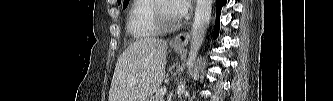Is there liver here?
Wrapping results in <instances>:
<instances>
[{
	"instance_id": "obj_1",
	"label": "liver",
	"mask_w": 333,
	"mask_h": 101,
	"mask_svg": "<svg viewBox=\"0 0 333 101\" xmlns=\"http://www.w3.org/2000/svg\"><path fill=\"white\" fill-rule=\"evenodd\" d=\"M167 41L133 42L118 58L108 101H147L165 77Z\"/></svg>"
}]
</instances>
